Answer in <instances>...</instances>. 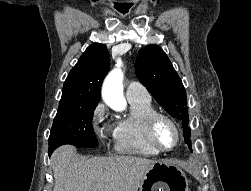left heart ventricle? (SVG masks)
<instances>
[{"mask_svg":"<svg viewBox=\"0 0 251 191\" xmlns=\"http://www.w3.org/2000/svg\"><path fill=\"white\" fill-rule=\"evenodd\" d=\"M154 138L159 148L164 151L174 149L179 141V136L175 128L165 119H159L156 122L154 127Z\"/></svg>","mask_w":251,"mask_h":191,"instance_id":"left-heart-ventricle-1","label":"left heart ventricle"}]
</instances>
